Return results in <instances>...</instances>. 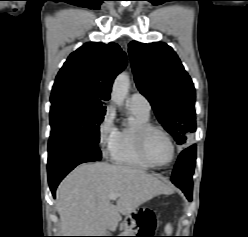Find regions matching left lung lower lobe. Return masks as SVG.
Here are the masks:
<instances>
[{"label": "left lung lower lobe", "instance_id": "0a47b994", "mask_svg": "<svg viewBox=\"0 0 248 237\" xmlns=\"http://www.w3.org/2000/svg\"><path fill=\"white\" fill-rule=\"evenodd\" d=\"M195 159L196 145H192L181 152L172 174V182L184 192L189 201L192 199Z\"/></svg>", "mask_w": 248, "mask_h": 237}]
</instances>
